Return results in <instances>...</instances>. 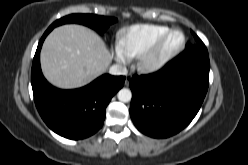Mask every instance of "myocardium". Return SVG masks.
<instances>
[{
  "instance_id": "myocardium-1",
  "label": "myocardium",
  "mask_w": 248,
  "mask_h": 165,
  "mask_svg": "<svg viewBox=\"0 0 248 165\" xmlns=\"http://www.w3.org/2000/svg\"><path fill=\"white\" fill-rule=\"evenodd\" d=\"M181 35V41L172 50L158 54L163 42L172 34ZM186 44L185 34L179 29H169L158 36L138 57L139 67L146 72H155L167 66L175 57H177Z\"/></svg>"
}]
</instances>
